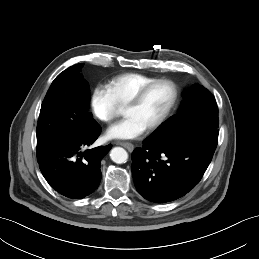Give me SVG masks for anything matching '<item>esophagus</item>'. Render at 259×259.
Listing matches in <instances>:
<instances>
[{"instance_id": "esophagus-1", "label": "esophagus", "mask_w": 259, "mask_h": 259, "mask_svg": "<svg viewBox=\"0 0 259 259\" xmlns=\"http://www.w3.org/2000/svg\"><path fill=\"white\" fill-rule=\"evenodd\" d=\"M115 144L125 147L128 151H133L134 145L128 142H119L117 141Z\"/></svg>"}]
</instances>
